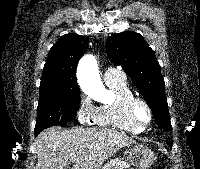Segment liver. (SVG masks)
<instances>
[{"label": "liver", "instance_id": "obj_1", "mask_svg": "<svg viewBox=\"0 0 200 169\" xmlns=\"http://www.w3.org/2000/svg\"><path fill=\"white\" fill-rule=\"evenodd\" d=\"M136 141L109 128L51 127L35 140L36 169H101V165L121 148Z\"/></svg>", "mask_w": 200, "mask_h": 169}]
</instances>
